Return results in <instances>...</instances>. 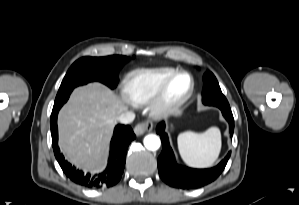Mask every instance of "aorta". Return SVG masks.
<instances>
[{"instance_id": "762f6f07", "label": "aorta", "mask_w": 299, "mask_h": 205, "mask_svg": "<svg viewBox=\"0 0 299 205\" xmlns=\"http://www.w3.org/2000/svg\"><path fill=\"white\" fill-rule=\"evenodd\" d=\"M144 146L151 151H156L160 148L161 141L157 135L149 134L144 138Z\"/></svg>"}]
</instances>
